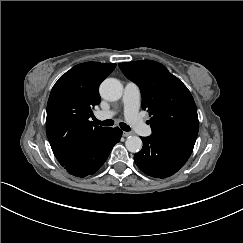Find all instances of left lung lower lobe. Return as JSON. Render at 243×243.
<instances>
[{
    "label": "left lung lower lobe",
    "instance_id": "1",
    "mask_svg": "<svg viewBox=\"0 0 243 243\" xmlns=\"http://www.w3.org/2000/svg\"><path fill=\"white\" fill-rule=\"evenodd\" d=\"M143 148L134 161L146 175L166 178L175 174L189 159L194 144L150 135L141 137Z\"/></svg>",
    "mask_w": 243,
    "mask_h": 243
}]
</instances>
